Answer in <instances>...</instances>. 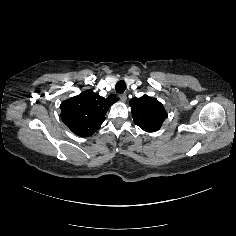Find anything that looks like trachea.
Masks as SVG:
<instances>
[{
    "instance_id": "obj_1",
    "label": "trachea",
    "mask_w": 236,
    "mask_h": 236,
    "mask_svg": "<svg viewBox=\"0 0 236 236\" xmlns=\"http://www.w3.org/2000/svg\"><path fill=\"white\" fill-rule=\"evenodd\" d=\"M116 92L122 94L126 90V83L124 81H119L115 86Z\"/></svg>"
}]
</instances>
